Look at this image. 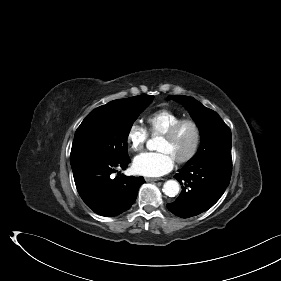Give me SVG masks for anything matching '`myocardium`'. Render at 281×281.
Wrapping results in <instances>:
<instances>
[{
    "label": "myocardium",
    "instance_id": "1",
    "mask_svg": "<svg viewBox=\"0 0 281 281\" xmlns=\"http://www.w3.org/2000/svg\"><path fill=\"white\" fill-rule=\"evenodd\" d=\"M184 125H190L193 128L194 133H195V139H194V143H193L191 150L185 156L175 160L179 164L189 162L198 153V150L201 145V140H202V133H201L200 126L193 119H189V118L180 119L179 121L174 123L165 133L162 134V137L165 139H173L176 136V134L178 133V131Z\"/></svg>",
    "mask_w": 281,
    "mask_h": 281
}]
</instances>
